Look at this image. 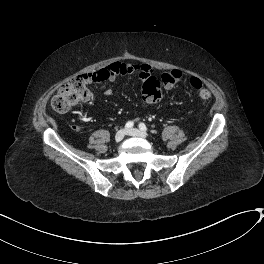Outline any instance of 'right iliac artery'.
<instances>
[{"label": "right iliac artery", "mask_w": 264, "mask_h": 264, "mask_svg": "<svg viewBox=\"0 0 264 264\" xmlns=\"http://www.w3.org/2000/svg\"><path fill=\"white\" fill-rule=\"evenodd\" d=\"M133 125H134V123H133L132 121H128V122L126 123V125H125V128H126V129H129V128L133 127Z\"/></svg>", "instance_id": "1"}]
</instances>
